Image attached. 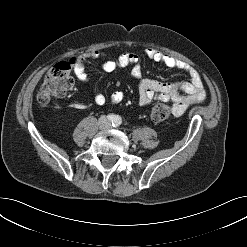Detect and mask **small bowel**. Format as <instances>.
<instances>
[{"label":"small bowel","mask_w":247,"mask_h":247,"mask_svg":"<svg viewBox=\"0 0 247 247\" xmlns=\"http://www.w3.org/2000/svg\"><path fill=\"white\" fill-rule=\"evenodd\" d=\"M145 55L152 61L183 71L190 77V81L168 83L145 77L140 65V58L135 53H124L115 59L105 60L102 62L101 67L107 72L131 67V75L138 82L140 104L148 105L155 100L171 101L173 102V112L176 116L182 115L189 105L199 103L205 99L206 92L201 76L194 68L169 54L153 48L147 49ZM87 57L97 59L103 58L104 55L100 52H93L88 54ZM74 71L80 81L88 82L84 65L76 66ZM111 99L114 103H119L124 99V93L115 91L112 93ZM94 101L98 105H103L106 102V97L102 93H97L94 95Z\"/></svg>","instance_id":"c3829d8e"}]
</instances>
